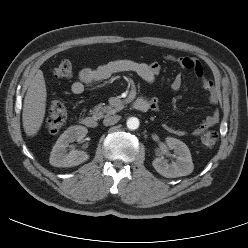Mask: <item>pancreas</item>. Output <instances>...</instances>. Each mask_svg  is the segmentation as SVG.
I'll return each instance as SVG.
<instances>
[{
    "label": "pancreas",
    "instance_id": "cf45deb5",
    "mask_svg": "<svg viewBox=\"0 0 248 248\" xmlns=\"http://www.w3.org/2000/svg\"><path fill=\"white\" fill-rule=\"evenodd\" d=\"M120 109V107L113 108L112 106H104L103 104H98L94 107V109L91 111V113L94 116L101 117L104 114H113L117 112Z\"/></svg>",
    "mask_w": 248,
    "mask_h": 248
}]
</instances>
